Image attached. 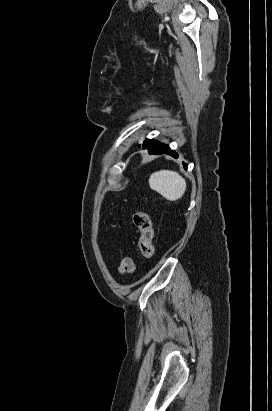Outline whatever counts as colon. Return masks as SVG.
Returning <instances> with one entry per match:
<instances>
[{"instance_id": "colon-1", "label": "colon", "mask_w": 272, "mask_h": 411, "mask_svg": "<svg viewBox=\"0 0 272 411\" xmlns=\"http://www.w3.org/2000/svg\"><path fill=\"white\" fill-rule=\"evenodd\" d=\"M133 221L140 234L139 249L141 254L144 258L151 259L154 256V246L150 217L144 210L138 209L133 214Z\"/></svg>"}]
</instances>
